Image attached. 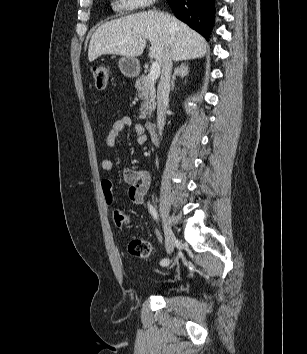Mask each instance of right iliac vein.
<instances>
[{"label": "right iliac vein", "mask_w": 307, "mask_h": 354, "mask_svg": "<svg viewBox=\"0 0 307 354\" xmlns=\"http://www.w3.org/2000/svg\"><path fill=\"white\" fill-rule=\"evenodd\" d=\"M164 232H165L166 251L168 254H171L174 250L176 238L170 225L167 222L164 223Z\"/></svg>", "instance_id": "1"}]
</instances>
